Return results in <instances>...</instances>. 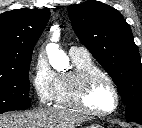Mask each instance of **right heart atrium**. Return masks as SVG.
Segmentation results:
<instances>
[{
    "instance_id": "obj_1",
    "label": "right heart atrium",
    "mask_w": 142,
    "mask_h": 128,
    "mask_svg": "<svg viewBox=\"0 0 142 128\" xmlns=\"http://www.w3.org/2000/svg\"><path fill=\"white\" fill-rule=\"evenodd\" d=\"M30 82L40 104L46 105L53 100L57 84V74L42 54L37 55L32 63Z\"/></svg>"
}]
</instances>
